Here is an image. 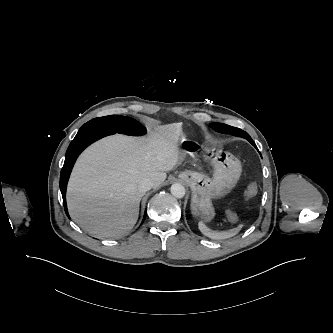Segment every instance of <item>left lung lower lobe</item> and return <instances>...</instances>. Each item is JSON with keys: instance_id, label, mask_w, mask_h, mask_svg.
<instances>
[{"instance_id": "left-lung-lower-lobe-1", "label": "left lung lower lobe", "mask_w": 333, "mask_h": 333, "mask_svg": "<svg viewBox=\"0 0 333 333\" xmlns=\"http://www.w3.org/2000/svg\"><path fill=\"white\" fill-rule=\"evenodd\" d=\"M247 140L255 147V148H257L256 147V145H255V143H254V141L250 138V137H247Z\"/></svg>"}]
</instances>
